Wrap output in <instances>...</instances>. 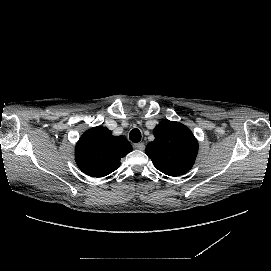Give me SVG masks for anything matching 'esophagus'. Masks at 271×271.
<instances>
[{"label":"esophagus","mask_w":271,"mask_h":271,"mask_svg":"<svg viewBox=\"0 0 271 271\" xmlns=\"http://www.w3.org/2000/svg\"><path fill=\"white\" fill-rule=\"evenodd\" d=\"M133 148L137 149V150H140V151H143L145 149V144L143 142L134 143Z\"/></svg>","instance_id":"1"}]
</instances>
